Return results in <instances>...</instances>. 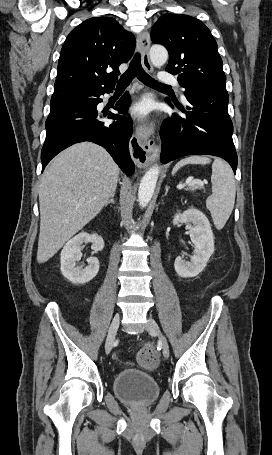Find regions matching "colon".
Here are the masks:
<instances>
[{"label": "colon", "instance_id": "colon-1", "mask_svg": "<svg viewBox=\"0 0 272 455\" xmlns=\"http://www.w3.org/2000/svg\"><path fill=\"white\" fill-rule=\"evenodd\" d=\"M137 361L142 367L152 368L157 364L158 356L152 346L145 345L139 350Z\"/></svg>", "mask_w": 272, "mask_h": 455}]
</instances>
